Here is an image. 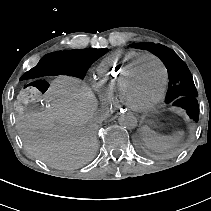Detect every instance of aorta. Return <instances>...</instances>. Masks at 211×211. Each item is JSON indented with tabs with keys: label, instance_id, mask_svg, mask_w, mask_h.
<instances>
[{
	"label": "aorta",
	"instance_id": "762f6f07",
	"mask_svg": "<svg viewBox=\"0 0 211 211\" xmlns=\"http://www.w3.org/2000/svg\"><path fill=\"white\" fill-rule=\"evenodd\" d=\"M118 122L121 126L131 129L135 128L138 123L136 116L131 112L121 114L118 118Z\"/></svg>",
	"mask_w": 211,
	"mask_h": 211
}]
</instances>
